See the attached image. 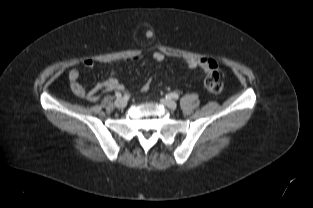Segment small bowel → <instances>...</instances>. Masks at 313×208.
I'll list each match as a JSON object with an SVG mask.
<instances>
[{"label": "small bowel", "instance_id": "obj_1", "mask_svg": "<svg viewBox=\"0 0 313 208\" xmlns=\"http://www.w3.org/2000/svg\"><path fill=\"white\" fill-rule=\"evenodd\" d=\"M152 57L155 61H158V62H162L165 58L164 54L161 52H154ZM140 58L141 57L137 55V56L130 58V60H137ZM81 63L85 68H92L94 66V60L91 58H85L82 60ZM186 64L190 69L200 68L206 74L212 69H217V62L214 59L208 58V57H204L201 59L190 58L186 61ZM79 75H80L79 70L76 68H73L70 71L69 80H70L71 91L74 93V95L80 98H84L90 102L97 101L100 95L104 92L124 89L123 84L119 82L118 79L115 77L114 69L112 70L111 76L107 80L97 84L91 90L86 89L79 82Z\"/></svg>", "mask_w": 313, "mask_h": 208}]
</instances>
